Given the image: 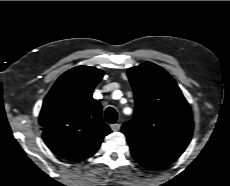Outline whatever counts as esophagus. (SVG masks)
<instances>
[{
	"label": "esophagus",
	"instance_id": "1",
	"mask_svg": "<svg viewBox=\"0 0 230 186\" xmlns=\"http://www.w3.org/2000/svg\"><path fill=\"white\" fill-rule=\"evenodd\" d=\"M111 129H112V131H119L120 130V124H118V123H115V124H111Z\"/></svg>",
	"mask_w": 230,
	"mask_h": 186
}]
</instances>
